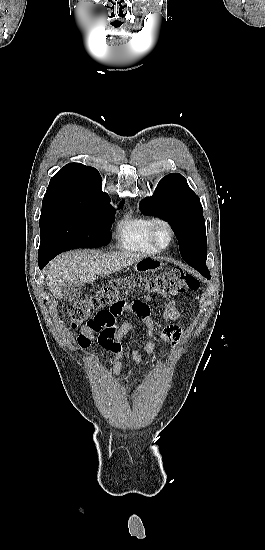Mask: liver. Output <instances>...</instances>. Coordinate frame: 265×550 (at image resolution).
Wrapping results in <instances>:
<instances>
[{
	"label": "liver",
	"instance_id": "obj_1",
	"mask_svg": "<svg viewBox=\"0 0 265 550\" xmlns=\"http://www.w3.org/2000/svg\"><path fill=\"white\" fill-rule=\"evenodd\" d=\"M144 258L132 253H89L70 251L58 256L48 267L46 282L57 299L66 283H91L97 275H110Z\"/></svg>",
	"mask_w": 265,
	"mask_h": 550
}]
</instances>
